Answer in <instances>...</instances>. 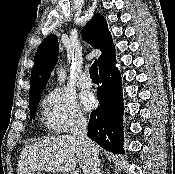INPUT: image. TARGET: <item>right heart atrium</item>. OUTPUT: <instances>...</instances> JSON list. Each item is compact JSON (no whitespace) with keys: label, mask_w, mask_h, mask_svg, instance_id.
I'll return each mask as SVG.
<instances>
[{"label":"right heart atrium","mask_w":175,"mask_h":174,"mask_svg":"<svg viewBox=\"0 0 175 174\" xmlns=\"http://www.w3.org/2000/svg\"><path fill=\"white\" fill-rule=\"evenodd\" d=\"M46 127L52 133H66L86 124L76 98L62 88L48 92L43 100Z\"/></svg>","instance_id":"right-heart-atrium-1"}]
</instances>
